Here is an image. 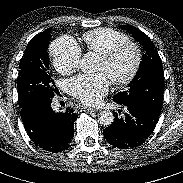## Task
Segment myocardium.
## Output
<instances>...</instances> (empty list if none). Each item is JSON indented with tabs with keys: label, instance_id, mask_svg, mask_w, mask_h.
I'll list each match as a JSON object with an SVG mask.
<instances>
[{
	"label": "myocardium",
	"instance_id": "obj_1",
	"mask_svg": "<svg viewBox=\"0 0 183 183\" xmlns=\"http://www.w3.org/2000/svg\"><path fill=\"white\" fill-rule=\"evenodd\" d=\"M126 48H131L134 51V63H133V66H132L130 72L125 77L120 78V79L111 80L112 83L116 86L128 85L137 76V74L140 70L141 64H142L141 47L137 43L128 40V41L119 43V44L115 45L114 47H112L111 49H109L108 51L100 54V58L103 61L109 63V62L113 61Z\"/></svg>",
	"mask_w": 183,
	"mask_h": 183
}]
</instances>
